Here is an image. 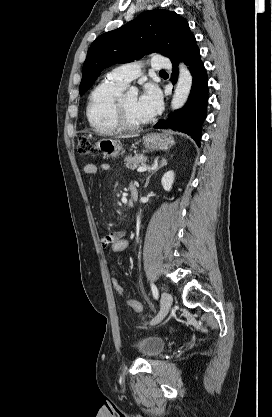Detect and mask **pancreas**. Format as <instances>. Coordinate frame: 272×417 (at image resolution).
Returning a JSON list of instances; mask_svg holds the SVG:
<instances>
[{
  "label": "pancreas",
  "mask_w": 272,
  "mask_h": 417,
  "mask_svg": "<svg viewBox=\"0 0 272 417\" xmlns=\"http://www.w3.org/2000/svg\"><path fill=\"white\" fill-rule=\"evenodd\" d=\"M147 158L144 155L128 156L125 159V165L129 169H136L140 164H144Z\"/></svg>",
  "instance_id": "obj_1"
}]
</instances>
